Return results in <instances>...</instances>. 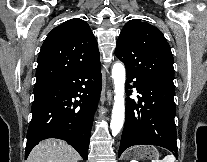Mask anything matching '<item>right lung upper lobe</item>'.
Here are the masks:
<instances>
[{"instance_id": "obj_1", "label": "right lung upper lobe", "mask_w": 207, "mask_h": 162, "mask_svg": "<svg viewBox=\"0 0 207 162\" xmlns=\"http://www.w3.org/2000/svg\"><path fill=\"white\" fill-rule=\"evenodd\" d=\"M100 63L99 50L89 25L71 19L55 27L38 56L36 84Z\"/></svg>"}]
</instances>
